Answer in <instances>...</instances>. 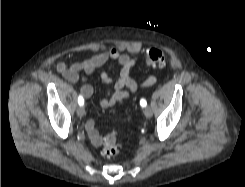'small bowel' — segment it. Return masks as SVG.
Returning a JSON list of instances; mask_svg holds the SVG:
<instances>
[{
    "label": "small bowel",
    "mask_w": 245,
    "mask_h": 187,
    "mask_svg": "<svg viewBox=\"0 0 245 187\" xmlns=\"http://www.w3.org/2000/svg\"><path fill=\"white\" fill-rule=\"evenodd\" d=\"M109 60L115 61L120 66V71L115 74L113 71L108 70L102 71L100 74L102 82L107 87L106 97L100 103L104 109L124 103L132 94L140 89L150 87L156 82V77L150 75L144 81L138 83L131 76V70L136 65L138 58L122 53L115 47L99 52L81 62L71 64L59 62L57 70L69 82H83L80 92L85 98H89L93 93V88L86 81L85 76L90 75ZM85 128L92 144L94 146H101L103 137L95 128V123L92 119L86 121Z\"/></svg>",
    "instance_id": "small-bowel-1"
}]
</instances>
